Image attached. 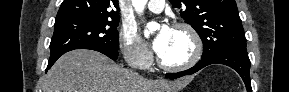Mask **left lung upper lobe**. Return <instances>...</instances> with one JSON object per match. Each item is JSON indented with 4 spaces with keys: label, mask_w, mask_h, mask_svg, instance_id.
Instances as JSON below:
<instances>
[{
    "label": "left lung upper lobe",
    "mask_w": 289,
    "mask_h": 92,
    "mask_svg": "<svg viewBox=\"0 0 289 92\" xmlns=\"http://www.w3.org/2000/svg\"><path fill=\"white\" fill-rule=\"evenodd\" d=\"M174 8L186 6L180 15L199 34L202 57L228 49L246 50V38L235 0H170Z\"/></svg>",
    "instance_id": "obj_1"
}]
</instances>
